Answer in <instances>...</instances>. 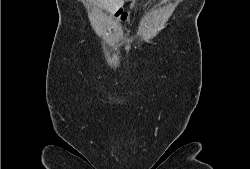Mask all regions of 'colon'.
<instances>
[{
    "instance_id": "5ec220e1",
    "label": "colon",
    "mask_w": 250,
    "mask_h": 169,
    "mask_svg": "<svg viewBox=\"0 0 250 169\" xmlns=\"http://www.w3.org/2000/svg\"><path fill=\"white\" fill-rule=\"evenodd\" d=\"M115 17L121 21V22H124L127 20V17H128V14L126 11H124L122 8H119L116 10L115 12Z\"/></svg>"
}]
</instances>
